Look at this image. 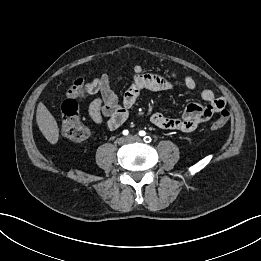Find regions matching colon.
I'll use <instances>...</instances> for the list:
<instances>
[{
  "label": "colon",
  "mask_w": 261,
  "mask_h": 261,
  "mask_svg": "<svg viewBox=\"0 0 261 261\" xmlns=\"http://www.w3.org/2000/svg\"><path fill=\"white\" fill-rule=\"evenodd\" d=\"M101 87V79L87 81L85 77L77 78L69 88L61 105L62 132L73 141H83L89 136V129L81 122L79 106L76 98L80 92L95 93ZM230 119V112L223 108L219 117L212 123L211 129L218 130L225 126Z\"/></svg>",
  "instance_id": "5ec220e1"
}]
</instances>
